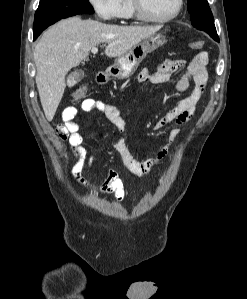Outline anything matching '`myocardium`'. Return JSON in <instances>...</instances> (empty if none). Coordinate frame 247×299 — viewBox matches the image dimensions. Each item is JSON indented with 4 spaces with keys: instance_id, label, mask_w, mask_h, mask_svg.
<instances>
[{
    "instance_id": "myocardium-1",
    "label": "myocardium",
    "mask_w": 247,
    "mask_h": 299,
    "mask_svg": "<svg viewBox=\"0 0 247 299\" xmlns=\"http://www.w3.org/2000/svg\"><path fill=\"white\" fill-rule=\"evenodd\" d=\"M183 3L184 0H177L176 8L169 16L157 18L152 17L146 13L142 0H132L134 14L139 20L158 24L167 23L174 20L180 14L183 8Z\"/></svg>"
}]
</instances>
